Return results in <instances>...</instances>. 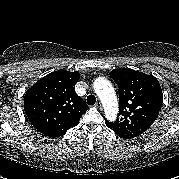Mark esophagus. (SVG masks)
<instances>
[{
  "label": "esophagus",
  "instance_id": "1",
  "mask_svg": "<svg viewBox=\"0 0 179 179\" xmlns=\"http://www.w3.org/2000/svg\"><path fill=\"white\" fill-rule=\"evenodd\" d=\"M96 108H98L99 110L102 109V104L101 102H97L96 105H95Z\"/></svg>",
  "mask_w": 179,
  "mask_h": 179
}]
</instances>
